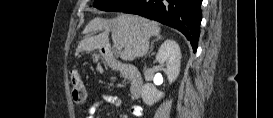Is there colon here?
Listing matches in <instances>:
<instances>
[{
	"label": "colon",
	"instance_id": "5ec220e1",
	"mask_svg": "<svg viewBox=\"0 0 273 118\" xmlns=\"http://www.w3.org/2000/svg\"><path fill=\"white\" fill-rule=\"evenodd\" d=\"M70 83L73 100L76 103H83L86 100L85 87L80 74L76 70H72L70 73Z\"/></svg>",
	"mask_w": 273,
	"mask_h": 118
}]
</instances>
